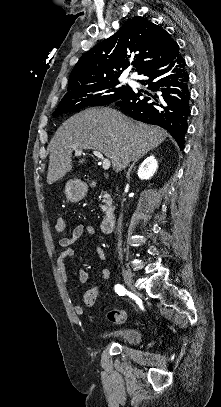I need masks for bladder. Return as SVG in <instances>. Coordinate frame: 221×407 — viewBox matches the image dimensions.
Returning a JSON list of instances; mask_svg holds the SVG:
<instances>
[{"label": "bladder", "mask_w": 221, "mask_h": 407, "mask_svg": "<svg viewBox=\"0 0 221 407\" xmlns=\"http://www.w3.org/2000/svg\"><path fill=\"white\" fill-rule=\"evenodd\" d=\"M103 340H118L129 345H138L142 339L141 330L135 327H124L113 330H104L99 334Z\"/></svg>", "instance_id": "obj_1"}]
</instances>
